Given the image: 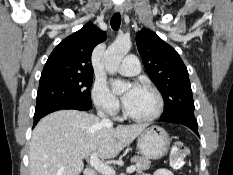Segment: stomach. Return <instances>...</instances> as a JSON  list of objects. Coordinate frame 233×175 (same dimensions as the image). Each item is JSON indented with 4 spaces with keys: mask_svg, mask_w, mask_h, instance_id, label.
Listing matches in <instances>:
<instances>
[{
    "mask_svg": "<svg viewBox=\"0 0 233 175\" xmlns=\"http://www.w3.org/2000/svg\"><path fill=\"white\" fill-rule=\"evenodd\" d=\"M137 146L143 157L157 160L167 154L170 138L162 127L150 126L139 135Z\"/></svg>",
    "mask_w": 233,
    "mask_h": 175,
    "instance_id": "1",
    "label": "stomach"
}]
</instances>
